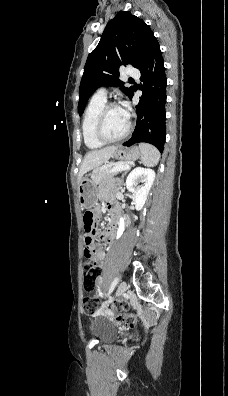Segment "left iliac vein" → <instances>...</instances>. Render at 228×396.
Listing matches in <instances>:
<instances>
[{
  "label": "left iliac vein",
  "mask_w": 228,
  "mask_h": 396,
  "mask_svg": "<svg viewBox=\"0 0 228 396\" xmlns=\"http://www.w3.org/2000/svg\"><path fill=\"white\" fill-rule=\"evenodd\" d=\"M127 290V283L125 281H122L116 291V297L122 296Z\"/></svg>",
  "instance_id": "1"
}]
</instances>
